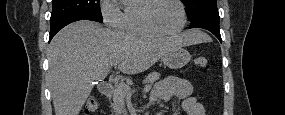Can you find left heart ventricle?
I'll return each instance as SVG.
<instances>
[{"mask_svg": "<svg viewBox=\"0 0 285 115\" xmlns=\"http://www.w3.org/2000/svg\"><path fill=\"white\" fill-rule=\"evenodd\" d=\"M154 25L162 31H175L181 23V13L177 4L170 0L158 2L150 14Z\"/></svg>", "mask_w": 285, "mask_h": 115, "instance_id": "b2bd125f", "label": "left heart ventricle"}]
</instances>
